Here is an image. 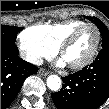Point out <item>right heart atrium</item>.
<instances>
[{"label": "right heart atrium", "instance_id": "1", "mask_svg": "<svg viewBox=\"0 0 109 109\" xmlns=\"http://www.w3.org/2000/svg\"><path fill=\"white\" fill-rule=\"evenodd\" d=\"M22 56L31 63L38 64L43 57H51L57 47L40 31L28 28L18 36Z\"/></svg>", "mask_w": 109, "mask_h": 109}]
</instances>
